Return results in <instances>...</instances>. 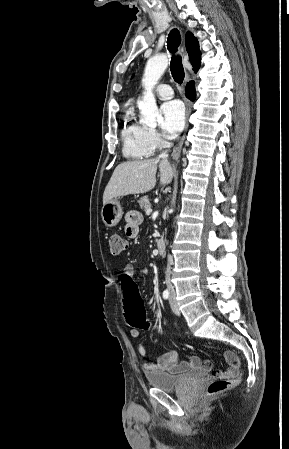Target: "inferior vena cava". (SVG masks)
I'll list each match as a JSON object with an SVG mask.
<instances>
[{
    "label": "inferior vena cava",
    "mask_w": 289,
    "mask_h": 449,
    "mask_svg": "<svg viewBox=\"0 0 289 449\" xmlns=\"http://www.w3.org/2000/svg\"><path fill=\"white\" fill-rule=\"evenodd\" d=\"M167 157H168V154L166 151L159 155V158H162V159H166ZM170 273H171V256H168V264H167V269H166V285H167L168 290L171 293H173L174 287L170 283Z\"/></svg>",
    "instance_id": "inferior-vena-cava-1"
}]
</instances>
